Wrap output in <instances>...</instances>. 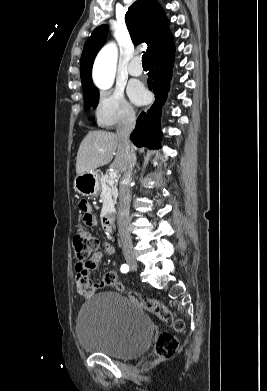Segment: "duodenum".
Returning a JSON list of instances; mask_svg holds the SVG:
<instances>
[{"label": "duodenum", "instance_id": "410a0bca", "mask_svg": "<svg viewBox=\"0 0 267 391\" xmlns=\"http://www.w3.org/2000/svg\"><path fill=\"white\" fill-rule=\"evenodd\" d=\"M101 223L105 231L111 232L114 229V211L104 213Z\"/></svg>", "mask_w": 267, "mask_h": 391}]
</instances>
